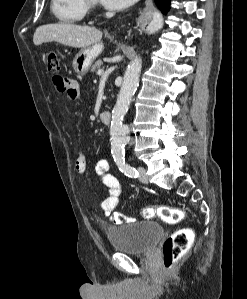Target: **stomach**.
<instances>
[{
    "label": "stomach",
    "instance_id": "1",
    "mask_svg": "<svg viewBox=\"0 0 247 299\" xmlns=\"http://www.w3.org/2000/svg\"><path fill=\"white\" fill-rule=\"evenodd\" d=\"M103 50L102 43H96L80 50L72 63L74 72L79 76H84L90 69L92 63Z\"/></svg>",
    "mask_w": 247,
    "mask_h": 299
}]
</instances>
